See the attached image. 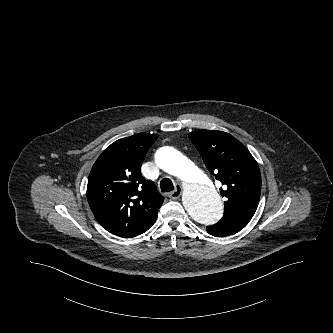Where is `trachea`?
<instances>
[{
	"label": "trachea",
	"instance_id": "3493384b",
	"mask_svg": "<svg viewBox=\"0 0 333 333\" xmlns=\"http://www.w3.org/2000/svg\"><path fill=\"white\" fill-rule=\"evenodd\" d=\"M160 188L162 192H170L174 190V185L170 179L164 178L160 182Z\"/></svg>",
	"mask_w": 333,
	"mask_h": 333
}]
</instances>
